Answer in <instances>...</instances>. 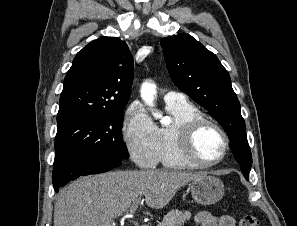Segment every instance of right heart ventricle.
<instances>
[{"label":"right heart ventricle","instance_id":"obj_1","mask_svg":"<svg viewBox=\"0 0 297 226\" xmlns=\"http://www.w3.org/2000/svg\"><path fill=\"white\" fill-rule=\"evenodd\" d=\"M166 110L172 116L170 125L158 128L160 161L172 169H188L194 166L187 162L178 150L175 129L186 122L202 118L203 113L190 102H166Z\"/></svg>","mask_w":297,"mask_h":226}]
</instances>
